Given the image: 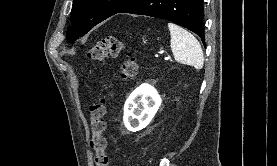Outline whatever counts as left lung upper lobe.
Returning <instances> with one entry per match:
<instances>
[{
    "label": "left lung upper lobe",
    "mask_w": 277,
    "mask_h": 166,
    "mask_svg": "<svg viewBox=\"0 0 277 166\" xmlns=\"http://www.w3.org/2000/svg\"><path fill=\"white\" fill-rule=\"evenodd\" d=\"M134 0H74L71 10V23L67 40H75L108 17L116 14Z\"/></svg>",
    "instance_id": "left-lung-upper-lobe-1"
}]
</instances>
